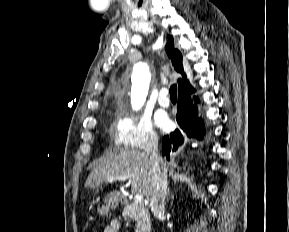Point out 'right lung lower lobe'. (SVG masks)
<instances>
[{
    "instance_id": "98d812e1",
    "label": "right lung lower lobe",
    "mask_w": 289,
    "mask_h": 232,
    "mask_svg": "<svg viewBox=\"0 0 289 232\" xmlns=\"http://www.w3.org/2000/svg\"><path fill=\"white\" fill-rule=\"evenodd\" d=\"M194 90L179 94L176 120L187 137L202 138L203 124L197 117V98L191 94ZM183 143V135L179 130H175L163 137L162 154L168 156L171 149L175 151Z\"/></svg>"
}]
</instances>
